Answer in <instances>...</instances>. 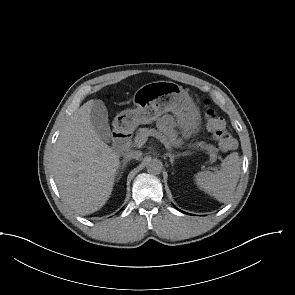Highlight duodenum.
Wrapping results in <instances>:
<instances>
[{
	"label": "duodenum",
	"mask_w": 295,
	"mask_h": 295,
	"mask_svg": "<svg viewBox=\"0 0 295 295\" xmlns=\"http://www.w3.org/2000/svg\"><path fill=\"white\" fill-rule=\"evenodd\" d=\"M113 148L118 154H125L128 152L130 146V133L127 128L116 126L113 132Z\"/></svg>",
	"instance_id": "1"
}]
</instances>
